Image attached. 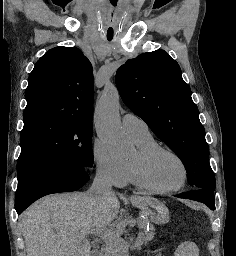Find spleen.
I'll return each instance as SVG.
<instances>
[{
  "instance_id": "obj_1",
  "label": "spleen",
  "mask_w": 236,
  "mask_h": 256,
  "mask_svg": "<svg viewBox=\"0 0 236 256\" xmlns=\"http://www.w3.org/2000/svg\"><path fill=\"white\" fill-rule=\"evenodd\" d=\"M200 250L194 242H183L175 252V256H199Z\"/></svg>"
}]
</instances>
